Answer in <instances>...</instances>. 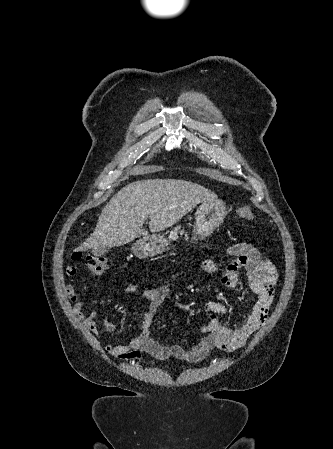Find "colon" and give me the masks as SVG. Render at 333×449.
<instances>
[{"label": "colon", "mask_w": 333, "mask_h": 449, "mask_svg": "<svg viewBox=\"0 0 333 449\" xmlns=\"http://www.w3.org/2000/svg\"><path fill=\"white\" fill-rule=\"evenodd\" d=\"M237 215L239 218L245 221H253L254 214L252 210L243 206L237 210ZM72 260L82 261L85 267L93 274H101L106 269L107 259L102 255H94L91 253L74 252L72 254Z\"/></svg>", "instance_id": "1"}]
</instances>
